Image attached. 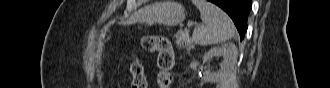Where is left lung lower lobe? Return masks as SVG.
<instances>
[{
	"label": "left lung lower lobe",
	"instance_id": "left-lung-lower-lobe-1",
	"mask_svg": "<svg viewBox=\"0 0 330 88\" xmlns=\"http://www.w3.org/2000/svg\"><path fill=\"white\" fill-rule=\"evenodd\" d=\"M223 9L233 20L240 40L247 31V18L251 7V0H209Z\"/></svg>",
	"mask_w": 330,
	"mask_h": 88
}]
</instances>
